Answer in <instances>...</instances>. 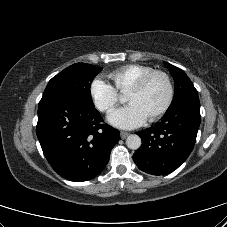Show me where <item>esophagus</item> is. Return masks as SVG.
<instances>
[{
	"instance_id": "1",
	"label": "esophagus",
	"mask_w": 227,
	"mask_h": 227,
	"mask_svg": "<svg viewBox=\"0 0 227 227\" xmlns=\"http://www.w3.org/2000/svg\"><path fill=\"white\" fill-rule=\"evenodd\" d=\"M120 135H121V138L122 139H125L129 135V133L128 132L121 131Z\"/></svg>"
}]
</instances>
